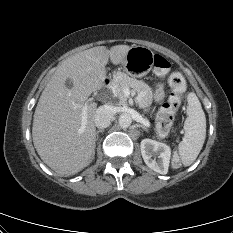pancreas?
Masks as SVG:
<instances>
[{"label": "pancreas", "mask_w": 233, "mask_h": 233, "mask_svg": "<svg viewBox=\"0 0 233 233\" xmlns=\"http://www.w3.org/2000/svg\"><path fill=\"white\" fill-rule=\"evenodd\" d=\"M132 88L138 94L137 102L140 107H146L152 102V91L144 81L130 78L124 73H119L114 77L113 94L119 99L120 105L127 104V97L125 96V90ZM159 136L163 137L167 131L157 129Z\"/></svg>", "instance_id": "pancreas-1"}]
</instances>
